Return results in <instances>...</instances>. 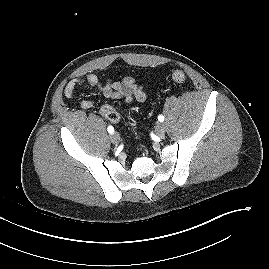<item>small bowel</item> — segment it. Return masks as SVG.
Wrapping results in <instances>:
<instances>
[{
  "label": "small bowel",
  "mask_w": 269,
  "mask_h": 269,
  "mask_svg": "<svg viewBox=\"0 0 269 269\" xmlns=\"http://www.w3.org/2000/svg\"><path fill=\"white\" fill-rule=\"evenodd\" d=\"M78 85L98 86L100 92L110 99H122L126 103L144 102L146 99V92L144 88L137 84L131 77H125L119 81H109L105 84H100L97 76L88 74L83 78H76L69 81L65 87L64 94L67 98H73L75 89ZM105 104L101 107V113L106 117ZM83 109H90L93 102L90 100H83L80 102ZM107 118V117H106Z\"/></svg>",
  "instance_id": "1"
}]
</instances>
